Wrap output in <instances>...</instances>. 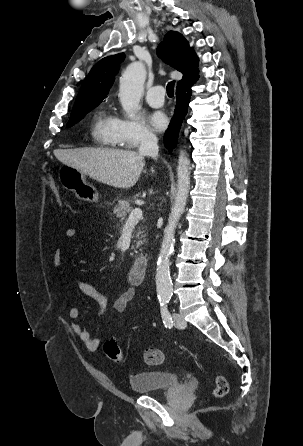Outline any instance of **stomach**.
I'll return each instance as SVG.
<instances>
[{"label":"stomach","instance_id":"obj_1","mask_svg":"<svg viewBox=\"0 0 303 446\" xmlns=\"http://www.w3.org/2000/svg\"><path fill=\"white\" fill-rule=\"evenodd\" d=\"M58 179L63 188L72 191L80 201L96 202L98 192L86 181V174L78 169L63 164L58 170Z\"/></svg>","mask_w":303,"mask_h":446}]
</instances>
